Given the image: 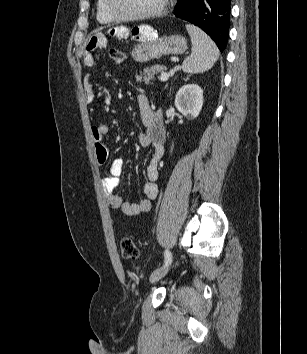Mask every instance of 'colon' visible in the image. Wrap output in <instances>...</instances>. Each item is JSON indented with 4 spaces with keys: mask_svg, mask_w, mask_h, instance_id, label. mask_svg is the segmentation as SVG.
I'll list each match as a JSON object with an SVG mask.
<instances>
[{
    "mask_svg": "<svg viewBox=\"0 0 307 354\" xmlns=\"http://www.w3.org/2000/svg\"><path fill=\"white\" fill-rule=\"evenodd\" d=\"M111 58L117 62L122 63L126 59V54L120 49H113L110 52ZM122 256L126 259H137L138 249L130 238H123L120 242Z\"/></svg>",
    "mask_w": 307,
    "mask_h": 354,
    "instance_id": "colon-1",
    "label": "colon"
}]
</instances>
